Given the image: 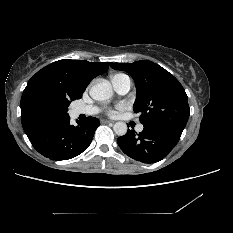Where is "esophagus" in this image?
<instances>
[{
    "label": "esophagus",
    "instance_id": "34e87169",
    "mask_svg": "<svg viewBox=\"0 0 233 233\" xmlns=\"http://www.w3.org/2000/svg\"><path fill=\"white\" fill-rule=\"evenodd\" d=\"M102 122L107 123V124H113L114 123L113 121H109V120H103Z\"/></svg>",
    "mask_w": 233,
    "mask_h": 233
}]
</instances>
